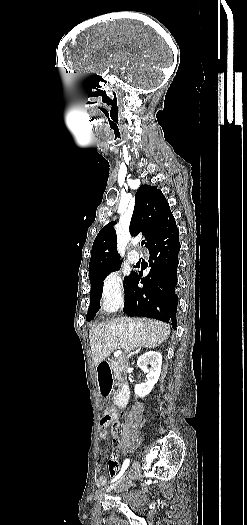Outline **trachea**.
Wrapping results in <instances>:
<instances>
[{
  "label": "trachea",
  "mask_w": 247,
  "mask_h": 525,
  "mask_svg": "<svg viewBox=\"0 0 247 525\" xmlns=\"http://www.w3.org/2000/svg\"><path fill=\"white\" fill-rule=\"evenodd\" d=\"M145 244V240H142L141 242V246H143Z\"/></svg>",
  "instance_id": "obj_1"
}]
</instances>
